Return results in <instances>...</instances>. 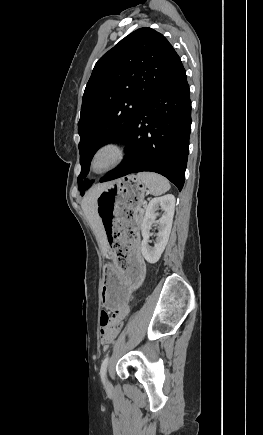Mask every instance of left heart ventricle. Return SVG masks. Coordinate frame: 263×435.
I'll return each mask as SVG.
<instances>
[{
  "label": "left heart ventricle",
  "mask_w": 263,
  "mask_h": 435,
  "mask_svg": "<svg viewBox=\"0 0 263 435\" xmlns=\"http://www.w3.org/2000/svg\"><path fill=\"white\" fill-rule=\"evenodd\" d=\"M114 153L111 150H106L98 155L95 160L94 168L96 170H101L108 166L114 160Z\"/></svg>",
  "instance_id": "b2bd125f"
}]
</instances>
